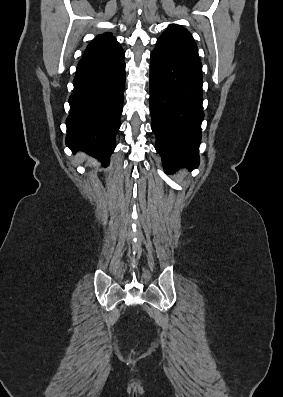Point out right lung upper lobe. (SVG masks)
<instances>
[{"mask_svg": "<svg viewBox=\"0 0 283 397\" xmlns=\"http://www.w3.org/2000/svg\"><path fill=\"white\" fill-rule=\"evenodd\" d=\"M124 57V51L111 33L98 35L87 46L77 69L90 68L114 62Z\"/></svg>", "mask_w": 283, "mask_h": 397, "instance_id": "right-lung-upper-lobe-1", "label": "right lung upper lobe"}]
</instances>
